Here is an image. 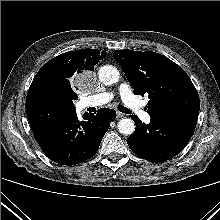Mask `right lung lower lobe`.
<instances>
[{
	"label": "right lung lower lobe",
	"mask_w": 220,
	"mask_h": 220,
	"mask_svg": "<svg viewBox=\"0 0 220 220\" xmlns=\"http://www.w3.org/2000/svg\"><path fill=\"white\" fill-rule=\"evenodd\" d=\"M26 113L38 144L54 162L75 165L91 158L116 118L113 109L78 120L75 109L42 101H26Z\"/></svg>",
	"instance_id": "obj_1"
}]
</instances>
